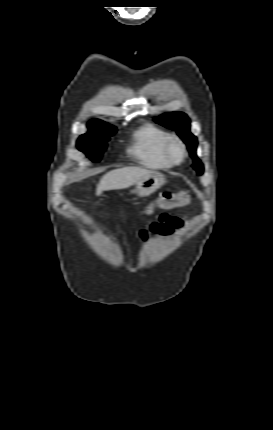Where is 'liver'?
<instances>
[{
	"instance_id": "obj_1",
	"label": "liver",
	"mask_w": 273,
	"mask_h": 430,
	"mask_svg": "<svg viewBox=\"0 0 273 430\" xmlns=\"http://www.w3.org/2000/svg\"><path fill=\"white\" fill-rule=\"evenodd\" d=\"M152 172V170L140 167H124L109 171L101 178L96 195L100 196L103 191L128 188Z\"/></svg>"
}]
</instances>
